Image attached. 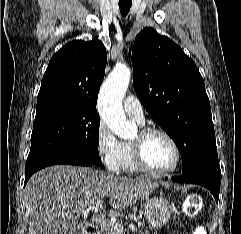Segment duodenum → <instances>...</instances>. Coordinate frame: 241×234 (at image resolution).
I'll list each match as a JSON object with an SVG mask.
<instances>
[{
    "label": "duodenum",
    "mask_w": 241,
    "mask_h": 234,
    "mask_svg": "<svg viewBox=\"0 0 241 234\" xmlns=\"http://www.w3.org/2000/svg\"><path fill=\"white\" fill-rule=\"evenodd\" d=\"M82 234H98L97 227L93 223L84 226Z\"/></svg>",
    "instance_id": "duodenum-1"
}]
</instances>
